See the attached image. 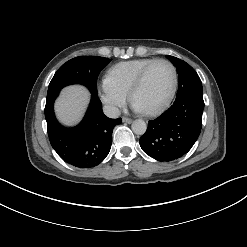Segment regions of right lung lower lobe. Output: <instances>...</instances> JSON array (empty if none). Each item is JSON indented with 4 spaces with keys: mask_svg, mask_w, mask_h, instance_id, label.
<instances>
[{
    "mask_svg": "<svg viewBox=\"0 0 247 247\" xmlns=\"http://www.w3.org/2000/svg\"><path fill=\"white\" fill-rule=\"evenodd\" d=\"M58 94L47 96L45 106L48 136L53 149L64 161L78 168L97 166L108 155L113 128L122 119L106 117L99 98L92 94L82 122L74 128H65L58 123L53 110Z\"/></svg>",
    "mask_w": 247,
    "mask_h": 247,
    "instance_id": "obj_1",
    "label": "right lung lower lobe"
}]
</instances>
